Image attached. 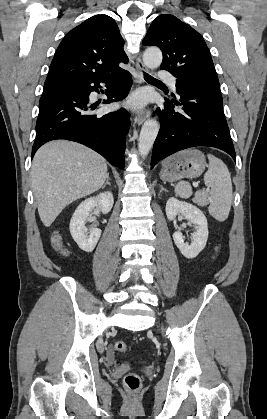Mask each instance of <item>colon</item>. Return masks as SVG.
Returning a JSON list of instances; mask_svg holds the SVG:
<instances>
[{
  "label": "colon",
  "instance_id": "obj_1",
  "mask_svg": "<svg viewBox=\"0 0 267 419\" xmlns=\"http://www.w3.org/2000/svg\"><path fill=\"white\" fill-rule=\"evenodd\" d=\"M52 243H53V246L57 250H59L60 252H64V250L62 248V245H61V240H60L59 236H57V235L53 236ZM114 349L117 352H125L127 350V345L123 341H117L114 344ZM124 385L130 391H137L140 388V386H141V379L135 373H128L124 377Z\"/></svg>",
  "mask_w": 267,
  "mask_h": 419
}]
</instances>
